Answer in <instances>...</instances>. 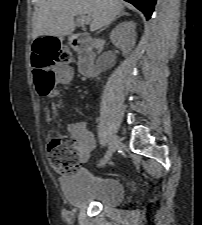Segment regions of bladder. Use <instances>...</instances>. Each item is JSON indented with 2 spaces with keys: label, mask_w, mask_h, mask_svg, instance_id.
<instances>
[{
  "label": "bladder",
  "mask_w": 202,
  "mask_h": 225,
  "mask_svg": "<svg viewBox=\"0 0 202 225\" xmlns=\"http://www.w3.org/2000/svg\"><path fill=\"white\" fill-rule=\"evenodd\" d=\"M66 200L73 208L91 203L104 207H119L126 200L122 181L109 174L94 173L81 169L62 180Z\"/></svg>",
  "instance_id": "1"
}]
</instances>
